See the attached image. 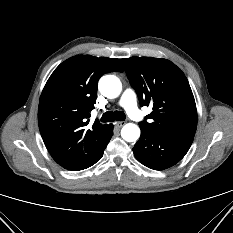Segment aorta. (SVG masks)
<instances>
[{
	"label": "aorta",
	"mask_w": 233,
	"mask_h": 233,
	"mask_svg": "<svg viewBox=\"0 0 233 233\" xmlns=\"http://www.w3.org/2000/svg\"><path fill=\"white\" fill-rule=\"evenodd\" d=\"M99 90L107 98H116L120 95L122 84L118 77L105 75L99 81ZM122 138L127 142H134L140 137V129L133 123H128L121 130Z\"/></svg>",
	"instance_id": "1"
}]
</instances>
